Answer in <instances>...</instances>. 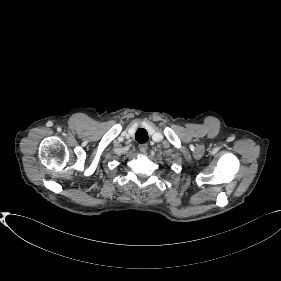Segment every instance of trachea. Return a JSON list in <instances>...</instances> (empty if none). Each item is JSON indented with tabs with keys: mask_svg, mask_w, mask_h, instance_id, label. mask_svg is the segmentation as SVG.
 I'll return each instance as SVG.
<instances>
[{
	"mask_svg": "<svg viewBox=\"0 0 281 281\" xmlns=\"http://www.w3.org/2000/svg\"><path fill=\"white\" fill-rule=\"evenodd\" d=\"M135 139L139 143H146L149 139L147 131L144 128H139L136 131Z\"/></svg>",
	"mask_w": 281,
	"mask_h": 281,
	"instance_id": "obj_1",
	"label": "trachea"
}]
</instances>
